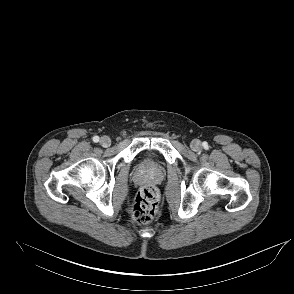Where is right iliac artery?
<instances>
[{"label": "right iliac artery", "mask_w": 294, "mask_h": 294, "mask_svg": "<svg viewBox=\"0 0 294 294\" xmlns=\"http://www.w3.org/2000/svg\"><path fill=\"white\" fill-rule=\"evenodd\" d=\"M93 141L97 143L99 141V137L98 136H94L93 137Z\"/></svg>", "instance_id": "obj_1"}]
</instances>
